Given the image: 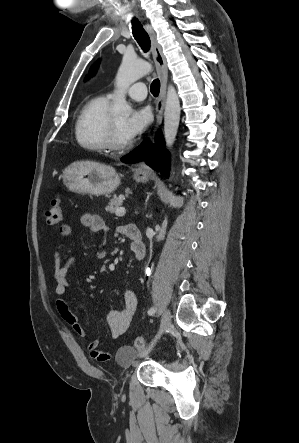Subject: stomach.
<instances>
[{
  "instance_id": "0dacf381",
  "label": "stomach",
  "mask_w": 299,
  "mask_h": 443,
  "mask_svg": "<svg viewBox=\"0 0 299 443\" xmlns=\"http://www.w3.org/2000/svg\"><path fill=\"white\" fill-rule=\"evenodd\" d=\"M134 179L146 183L147 173L136 172ZM64 185L72 192L79 194L109 195L120 184V177L111 166L102 164L88 165L76 162L68 166L62 175Z\"/></svg>"
}]
</instances>
